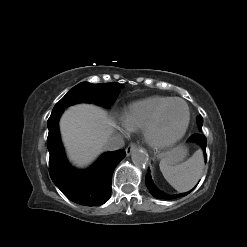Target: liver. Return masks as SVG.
I'll use <instances>...</instances> for the list:
<instances>
[{
  "label": "liver",
  "instance_id": "obj_1",
  "mask_svg": "<svg viewBox=\"0 0 247 247\" xmlns=\"http://www.w3.org/2000/svg\"><path fill=\"white\" fill-rule=\"evenodd\" d=\"M115 123L93 104H77L60 119V131L69 160L77 167L91 164L114 134Z\"/></svg>",
  "mask_w": 247,
  "mask_h": 247
}]
</instances>
